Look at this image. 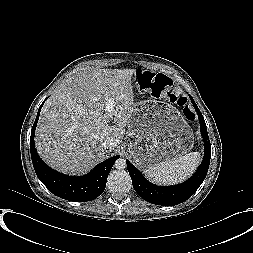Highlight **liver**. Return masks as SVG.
<instances>
[{
	"label": "liver",
	"instance_id": "1",
	"mask_svg": "<svg viewBox=\"0 0 253 253\" xmlns=\"http://www.w3.org/2000/svg\"><path fill=\"white\" fill-rule=\"evenodd\" d=\"M135 74L134 69L84 68L60 84L45 102L36 128L41 158L60 172L81 175L114 154L133 112ZM109 99L115 107L112 118L107 117ZM104 142L112 144L105 150Z\"/></svg>",
	"mask_w": 253,
	"mask_h": 253
}]
</instances>
